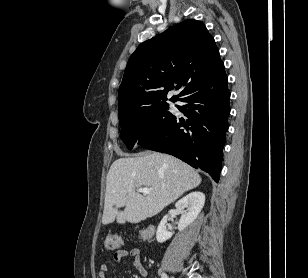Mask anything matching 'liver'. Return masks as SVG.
<instances>
[{
    "label": "liver",
    "instance_id": "liver-1",
    "mask_svg": "<svg viewBox=\"0 0 308 278\" xmlns=\"http://www.w3.org/2000/svg\"><path fill=\"white\" fill-rule=\"evenodd\" d=\"M202 179L197 171L178 158L153 152L143 156L119 158L106 179L102 223H139L162 211L185 192L196 188ZM141 186L150 193L135 191ZM125 207L123 211L118 210Z\"/></svg>",
    "mask_w": 308,
    "mask_h": 278
}]
</instances>
